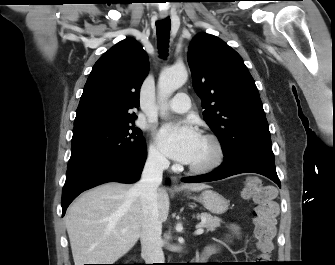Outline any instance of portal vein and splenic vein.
<instances>
[{"label": "portal vein and splenic vein", "mask_w": 335, "mask_h": 265, "mask_svg": "<svg viewBox=\"0 0 335 265\" xmlns=\"http://www.w3.org/2000/svg\"><path fill=\"white\" fill-rule=\"evenodd\" d=\"M204 233V229L202 227L198 228L196 231H195V234L196 235H201Z\"/></svg>", "instance_id": "1"}]
</instances>
